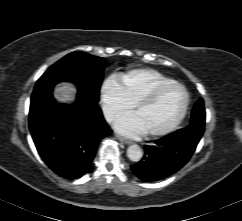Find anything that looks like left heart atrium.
<instances>
[{"label": "left heart atrium", "mask_w": 242, "mask_h": 221, "mask_svg": "<svg viewBox=\"0 0 242 221\" xmlns=\"http://www.w3.org/2000/svg\"><path fill=\"white\" fill-rule=\"evenodd\" d=\"M114 129L128 137H140L144 135L145 129L136 114H127L114 122Z\"/></svg>", "instance_id": "left-heart-atrium-1"}]
</instances>
